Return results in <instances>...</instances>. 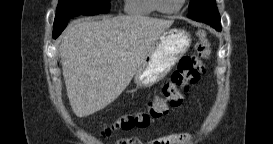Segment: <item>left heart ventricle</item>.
<instances>
[{"label": "left heart ventricle", "instance_id": "left-heart-ventricle-1", "mask_svg": "<svg viewBox=\"0 0 273 144\" xmlns=\"http://www.w3.org/2000/svg\"><path fill=\"white\" fill-rule=\"evenodd\" d=\"M162 7L165 9H174L178 6L180 0H161Z\"/></svg>", "mask_w": 273, "mask_h": 144}]
</instances>
